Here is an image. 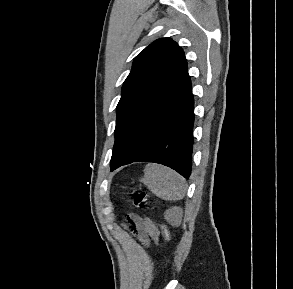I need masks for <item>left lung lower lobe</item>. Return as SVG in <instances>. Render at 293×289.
Returning <instances> with one entry per match:
<instances>
[{"label":"left lung lower lobe","mask_w":293,"mask_h":289,"mask_svg":"<svg viewBox=\"0 0 293 289\" xmlns=\"http://www.w3.org/2000/svg\"><path fill=\"white\" fill-rule=\"evenodd\" d=\"M193 124L194 99L186 72L124 133L118 146L130 158L122 165L159 163L188 179L192 168Z\"/></svg>","instance_id":"1"}]
</instances>
